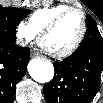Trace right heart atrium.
<instances>
[{
	"label": "right heart atrium",
	"mask_w": 103,
	"mask_h": 103,
	"mask_svg": "<svg viewBox=\"0 0 103 103\" xmlns=\"http://www.w3.org/2000/svg\"><path fill=\"white\" fill-rule=\"evenodd\" d=\"M37 33L30 25L29 23L20 22L17 24L16 27V36L18 41L21 44H28L31 41H33L37 35Z\"/></svg>",
	"instance_id": "d8ad5b80"
}]
</instances>
